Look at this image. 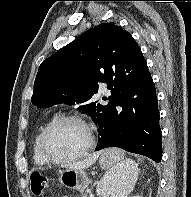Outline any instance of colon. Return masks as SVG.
Segmentation results:
<instances>
[{
	"mask_svg": "<svg viewBox=\"0 0 191 197\" xmlns=\"http://www.w3.org/2000/svg\"><path fill=\"white\" fill-rule=\"evenodd\" d=\"M30 180L31 190L35 195H41L48 185V179L40 173H32Z\"/></svg>",
	"mask_w": 191,
	"mask_h": 197,
	"instance_id": "5ec220e1",
	"label": "colon"
}]
</instances>
